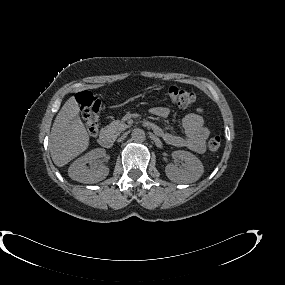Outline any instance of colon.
<instances>
[{
    "mask_svg": "<svg viewBox=\"0 0 285 285\" xmlns=\"http://www.w3.org/2000/svg\"><path fill=\"white\" fill-rule=\"evenodd\" d=\"M166 94L173 103L181 107H188L196 101V94L193 91L185 90L176 86L169 87ZM76 100L80 106L89 134L95 136L99 131V98L92 92L83 91L77 95ZM220 147L221 137L218 135L211 137L207 141V148L211 153L219 152Z\"/></svg>",
    "mask_w": 285,
    "mask_h": 285,
    "instance_id": "obj_1",
    "label": "colon"
}]
</instances>
